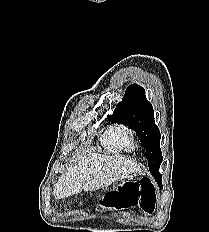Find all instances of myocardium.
I'll return each mask as SVG.
<instances>
[{
	"label": "myocardium",
	"instance_id": "myocardium-1",
	"mask_svg": "<svg viewBox=\"0 0 209 232\" xmlns=\"http://www.w3.org/2000/svg\"><path fill=\"white\" fill-rule=\"evenodd\" d=\"M114 131L117 142L124 150L130 151L135 148L134 133L130 127L117 125Z\"/></svg>",
	"mask_w": 209,
	"mask_h": 232
}]
</instances>
